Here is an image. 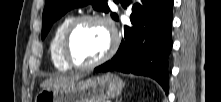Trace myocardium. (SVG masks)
Here are the masks:
<instances>
[{
    "instance_id": "1",
    "label": "myocardium",
    "mask_w": 221,
    "mask_h": 102,
    "mask_svg": "<svg viewBox=\"0 0 221 102\" xmlns=\"http://www.w3.org/2000/svg\"><path fill=\"white\" fill-rule=\"evenodd\" d=\"M85 21H95L103 24L108 30L110 36V42L107 50L97 60L88 64H78L71 59L68 48H69L70 38L74 29L79 24ZM118 45H119V35L117 29L114 26L113 22L107 16L99 13H85L74 17L66 27L61 41V56L64 62L70 68H74L77 70H89L103 64L108 59H110L117 50Z\"/></svg>"
}]
</instances>
